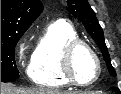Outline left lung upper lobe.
<instances>
[{"label":"left lung upper lobe","instance_id":"1","mask_svg":"<svg viewBox=\"0 0 121 94\" xmlns=\"http://www.w3.org/2000/svg\"><path fill=\"white\" fill-rule=\"evenodd\" d=\"M67 10L83 23L87 32L94 39L98 47L101 49L104 60L108 67L109 73L116 76V72L111 65L108 49L104 41V34L98 23L95 12L91 9L87 0H64Z\"/></svg>","mask_w":121,"mask_h":94}]
</instances>
